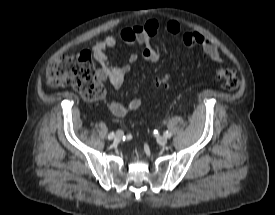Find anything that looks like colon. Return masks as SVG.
<instances>
[{
	"instance_id": "obj_1",
	"label": "colon",
	"mask_w": 275,
	"mask_h": 215,
	"mask_svg": "<svg viewBox=\"0 0 275 215\" xmlns=\"http://www.w3.org/2000/svg\"><path fill=\"white\" fill-rule=\"evenodd\" d=\"M215 75L229 91L240 87V80L231 69L219 67L215 70ZM171 80L172 75L158 79L157 88L167 87ZM46 81L52 87L74 88L86 100H100L105 94L104 87L96 78L92 57L87 51L54 58L48 65Z\"/></svg>"
}]
</instances>
